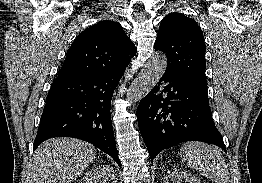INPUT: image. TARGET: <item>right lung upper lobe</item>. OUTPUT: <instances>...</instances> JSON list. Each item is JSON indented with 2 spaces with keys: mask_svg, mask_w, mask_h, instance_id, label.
<instances>
[{
  "mask_svg": "<svg viewBox=\"0 0 262 183\" xmlns=\"http://www.w3.org/2000/svg\"><path fill=\"white\" fill-rule=\"evenodd\" d=\"M136 48L114 21H101L74 40L57 78L119 73L125 70Z\"/></svg>",
  "mask_w": 262,
  "mask_h": 183,
  "instance_id": "obj_1",
  "label": "right lung upper lobe"
}]
</instances>
